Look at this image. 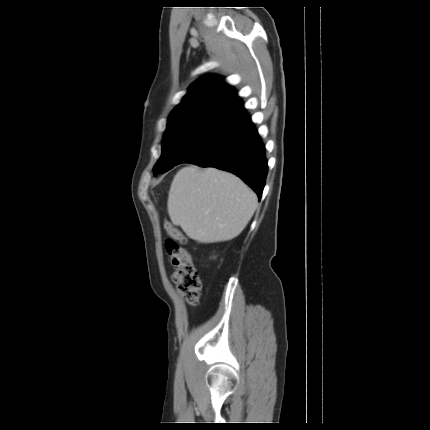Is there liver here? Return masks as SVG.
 Instances as JSON below:
<instances>
[{
	"instance_id": "obj_1",
	"label": "liver",
	"mask_w": 430,
	"mask_h": 430,
	"mask_svg": "<svg viewBox=\"0 0 430 430\" xmlns=\"http://www.w3.org/2000/svg\"><path fill=\"white\" fill-rule=\"evenodd\" d=\"M257 204L256 194L236 175L190 165L175 175L167 207L173 224L189 238L214 243L237 237Z\"/></svg>"
}]
</instances>
